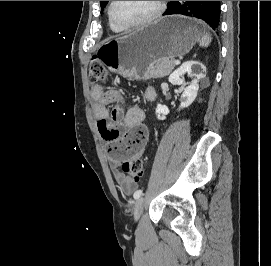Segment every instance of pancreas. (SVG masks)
<instances>
[{
  "label": "pancreas",
  "mask_w": 271,
  "mask_h": 266,
  "mask_svg": "<svg viewBox=\"0 0 271 266\" xmlns=\"http://www.w3.org/2000/svg\"><path fill=\"white\" fill-rule=\"evenodd\" d=\"M175 60L169 58L159 59L152 62L148 67V76L162 78L167 76L175 67Z\"/></svg>",
  "instance_id": "cf45deb5"
}]
</instances>
